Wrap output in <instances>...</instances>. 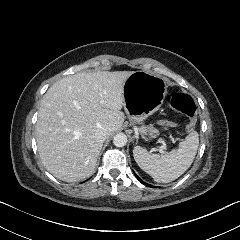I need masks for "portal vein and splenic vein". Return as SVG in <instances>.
I'll use <instances>...</instances> for the list:
<instances>
[{
    "mask_svg": "<svg viewBox=\"0 0 240 240\" xmlns=\"http://www.w3.org/2000/svg\"><path fill=\"white\" fill-rule=\"evenodd\" d=\"M158 143L161 144V147L159 149V154L163 156V154L167 151V143L164 139L158 140Z\"/></svg>",
    "mask_w": 240,
    "mask_h": 240,
    "instance_id": "1",
    "label": "portal vein and splenic vein"
}]
</instances>
